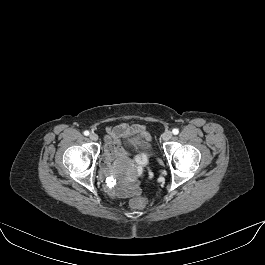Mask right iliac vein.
Listing matches in <instances>:
<instances>
[{"instance_id":"right-iliac-vein-1","label":"right iliac vein","mask_w":265,"mask_h":265,"mask_svg":"<svg viewBox=\"0 0 265 265\" xmlns=\"http://www.w3.org/2000/svg\"><path fill=\"white\" fill-rule=\"evenodd\" d=\"M89 137H90V139H91L92 141H97V140H98V135H97L96 133H91V134L89 135Z\"/></svg>"}]
</instances>
